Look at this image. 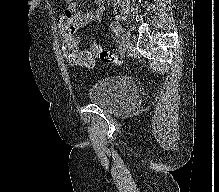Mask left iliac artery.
<instances>
[{"label":"left iliac artery","mask_w":219,"mask_h":192,"mask_svg":"<svg viewBox=\"0 0 219 192\" xmlns=\"http://www.w3.org/2000/svg\"><path fill=\"white\" fill-rule=\"evenodd\" d=\"M114 32L116 33V35H115V41H116V42H119V36H118L117 30L114 29Z\"/></svg>","instance_id":"left-iliac-artery-1"}]
</instances>
